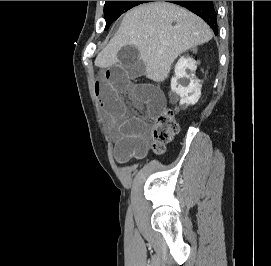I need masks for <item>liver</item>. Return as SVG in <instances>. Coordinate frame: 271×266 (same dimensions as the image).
I'll list each match as a JSON object with an SVG mask.
<instances>
[{
	"instance_id": "liver-1",
	"label": "liver",
	"mask_w": 271,
	"mask_h": 266,
	"mask_svg": "<svg viewBox=\"0 0 271 266\" xmlns=\"http://www.w3.org/2000/svg\"><path fill=\"white\" fill-rule=\"evenodd\" d=\"M213 37L210 27L198 16L170 3H148L128 11L115 36L98 54L95 65L112 67L119 50L127 45L138 49L149 72L147 78L163 82L179 55Z\"/></svg>"
}]
</instances>
